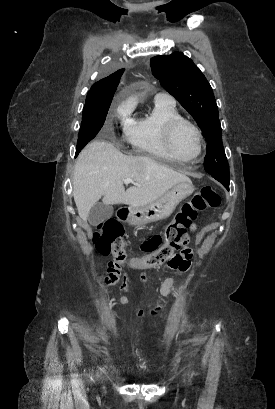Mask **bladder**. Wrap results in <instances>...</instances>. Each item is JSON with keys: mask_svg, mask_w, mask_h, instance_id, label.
Returning <instances> with one entry per match:
<instances>
[{"mask_svg": "<svg viewBox=\"0 0 275 409\" xmlns=\"http://www.w3.org/2000/svg\"><path fill=\"white\" fill-rule=\"evenodd\" d=\"M140 369L143 371V370H145L144 368H142V367H140Z\"/></svg>", "mask_w": 275, "mask_h": 409, "instance_id": "31cf9c89", "label": "bladder"}]
</instances>
